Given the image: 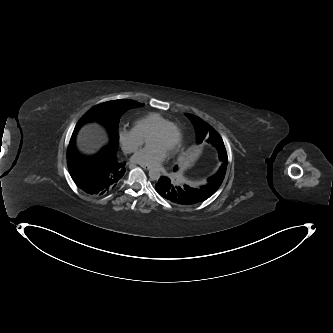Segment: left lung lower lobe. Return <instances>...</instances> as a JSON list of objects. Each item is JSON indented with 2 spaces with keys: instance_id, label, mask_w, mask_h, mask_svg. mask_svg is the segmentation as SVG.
Listing matches in <instances>:
<instances>
[{
  "instance_id": "0a47b994",
  "label": "left lung lower lobe",
  "mask_w": 333,
  "mask_h": 333,
  "mask_svg": "<svg viewBox=\"0 0 333 333\" xmlns=\"http://www.w3.org/2000/svg\"><path fill=\"white\" fill-rule=\"evenodd\" d=\"M220 152H223V146H217L211 143ZM156 191L165 199L181 204L193 205L205 201L212 196L217 189L213 188L210 183L205 185H193L191 183H178L174 177L162 176L156 184Z\"/></svg>"
}]
</instances>
